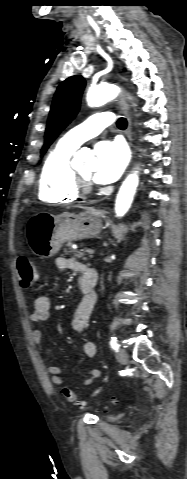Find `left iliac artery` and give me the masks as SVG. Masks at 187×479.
Returning a JSON list of instances; mask_svg holds the SVG:
<instances>
[{
    "label": "left iliac artery",
    "mask_w": 187,
    "mask_h": 479,
    "mask_svg": "<svg viewBox=\"0 0 187 479\" xmlns=\"http://www.w3.org/2000/svg\"><path fill=\"white\" fill-rule=\"evenodd\" d=\"M110 345H111L112 349H114L115 351H118L119 344H118V341H117L116 337H111Z\"/></svg>",
    "instance_id": "left-iliac-artery-1"
}]
</instances>
